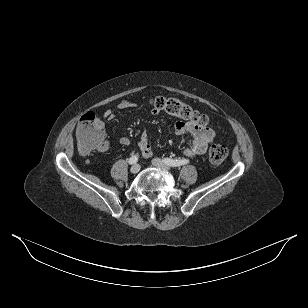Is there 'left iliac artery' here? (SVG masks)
I'll list each match as a JSON object with an SVG mask.
<instances>
[{"instance_id":"1","label":"left iliac artery","mask_w":308,"mask_h":308,"mask_svg":"<svg viewBox=\"0 0 308 308\" xmlns=\"http://www.w3.org/2000/svg\"><path fill=\"white\" fill-rule=\"evenodd\" d=\"M163 162H165L167 165L171 166V167H179L182 165H185L187 163H189V160L187 159H182V160H174V159H170V158H164Z\"/></svg>"}]
</instances>
